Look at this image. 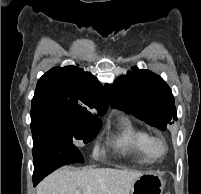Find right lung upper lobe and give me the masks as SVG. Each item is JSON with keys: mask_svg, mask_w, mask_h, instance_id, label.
Masks as SVG:
<instances>
[{"mask_svg": "<svg viewBox=\"0 0 201 194\" xmlns=\"http://www.w3.org/2000/svg\"><path fill=\"white\" fill-rule=\"evenodd\" d=\"M106 88L89 72L75 66L54 67L38 81L31 106L58 103L74 116L98 119L86 106L95 108L98 115L108 109Z\"/></svg>", "mask_w": 201, "mask_h": 194, "instance_id": "cb5924a9", "label": "right lung upper lobe"}]
</instances>
